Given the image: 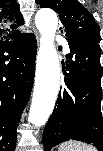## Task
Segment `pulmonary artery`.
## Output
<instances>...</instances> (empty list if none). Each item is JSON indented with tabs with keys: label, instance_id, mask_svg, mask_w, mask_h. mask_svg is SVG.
<instances>
[{
	"label": "pulmonary artery",
	"instance_id": "pulmonary-artery-1",
	"mask_svg": "<svg viewBox=\"0 0 103 151\" xmlns=\"http://www.w3.org/2000/svg\"><path fill=\"white\" fill-rule=\"evenodd\" d=\"M57 41L63 46V50L66 52V53H69L70 51V48H69V44L68 42L63 39L62 37H57Z\"/></svg>",
	"mask_w": 103,
	"mask_h": 151
}]
</instances>
